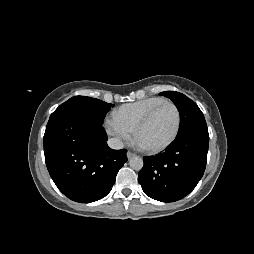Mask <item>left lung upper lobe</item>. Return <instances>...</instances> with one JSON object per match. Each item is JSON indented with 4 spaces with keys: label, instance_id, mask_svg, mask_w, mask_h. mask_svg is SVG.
<instances>
[{
    "label": "left lung upper lobe",
    "instance_id": "left-lung-upper-lobe-1",
    "mask_svg": "<svg viewBox=\"0 0 254 254\" xmlns=\"http://www.w3.org/2000/svg\"><path fill=\"white\" fill-rule=\"evenodd\" d=\"M171 99L180 112V128L178 136L196 130H208L202 111L197 104L182 93L165 91L160 93Z\"/></svg>",
    "mask_w": 254,
    "mask_h": 254
}]
</instances>
